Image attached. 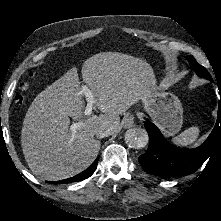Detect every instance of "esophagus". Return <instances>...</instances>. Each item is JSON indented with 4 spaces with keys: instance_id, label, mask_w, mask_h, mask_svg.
Wrapping results in <instances>:
<instances>
[{
    "instance_id": "34e87169",
    "label": "esophagus",
    "mask_w": 221,
    "mask_h": 221,
    "mask_svg": "<svg viewBox=\"0 0 221 221\" xmlns=\"http://www.w3.org/2000/svg\"><path fill=\"white\" fill-rule=\"evenodd\" d=\"M135 117L134 115H130L124 118L123 120V126L125 129L131 128L135 125Z\"/></svg>"
}]
</instances>
